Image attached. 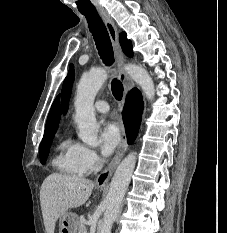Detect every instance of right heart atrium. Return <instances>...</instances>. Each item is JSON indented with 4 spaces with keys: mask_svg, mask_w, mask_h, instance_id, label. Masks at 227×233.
<instances>
[{
    "mask_svg": "<svg viewBox=\"0 0 227 233\" xmlns=\"http://www.w3.org/2000/svg\"><path fill=\"white\" fill-rule=\"evenodd\" d=\"M81 161L86 172L95 171L100 164L96 151L84 145H81Z\"/></svg>",
    "mask_w": 227,
    "mask_h": 233,
    "instance_id": "1",
    "label": "right heart atrium"
}]
</instances>
